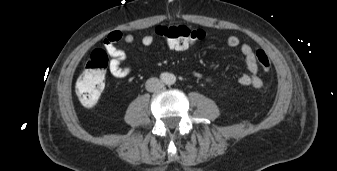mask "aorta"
<instances>
[{
	"instance_id": "1",
	"label": "aorta",
	"mask_w": 337,
	"mask_h": 171,
	"mask_svg": "<svg viewBox=\"0 0 337 171\" xmlns=\"http://www.w3.org/2000/svg\"><path fill=\"white\" fill-rule=\"evenodd\" d=\"M165 81L167 84H173L175 82V76L173 74H169Z\"/></svg>"
}]
</instances>
